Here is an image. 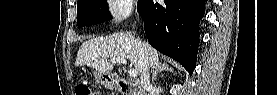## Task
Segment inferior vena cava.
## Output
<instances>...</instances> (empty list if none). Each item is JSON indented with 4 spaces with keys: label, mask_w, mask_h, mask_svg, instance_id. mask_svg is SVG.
I'll return each instance as SVG.
<instances>
[{
    "label": "inferior vena cava",
    "mask_w": 277,
    "mask_h": 95,
    "mask_svg": "<svg viewBox=\"0 0 277 95\" xmlns=\"http://www.w3.org/2000/svg\"><path fill=\"white\" fill-rule=\"evenodd\" d=\"M137 46H138V52H139L138 70L140 73V85L145 95L147 92H150L152 88L149 80V63H148V59H147L144 47L141 44V42L138 41Z\"/></svg>",
    "instance_id": "602c4592"
}]
</instances>
